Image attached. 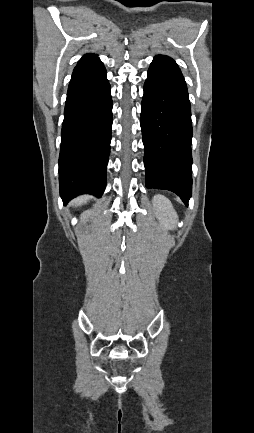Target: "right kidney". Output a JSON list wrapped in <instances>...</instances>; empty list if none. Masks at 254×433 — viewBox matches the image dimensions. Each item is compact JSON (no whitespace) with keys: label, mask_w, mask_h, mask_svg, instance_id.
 Returning a JSON list of instances; mask_svg holds the SVG:
<instances>
[{"label":"right kidney","mask_w":254,"mask_h":433,"mask_svg":"<svg viewBox=\"0 0 254 433\" xmlns=\"http://www.w3.org/2000/svg\"><path fill=\"white\" fill-rule=\"evenodd\" d=\"M90 216H91V213H90V212H86L85 214H83L81 220L85 221V220H87L88 217H90Z\"/></svg>","instance_id":"ca27d5eb"}]
</instances>
